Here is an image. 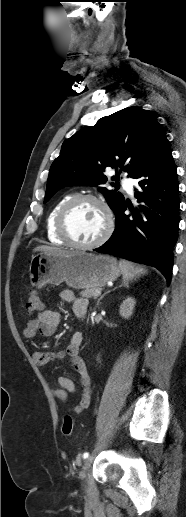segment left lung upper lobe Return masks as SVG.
Instances as JSON below:
<instances>
[{"instance_id":"5c2ea615","label":"left lung upper lobe","mask_w":186,"mask_h":517,"mask_svg":"<svg viewBox=\"0 0 186 517\" xmlns=\"http://www.w3.org/2000/svg\"><path fill=\"white\" fill-rule=\"evenodd\" d=\"M165 137L157 120L140 107H127L102 117L94 126H86L64 141L50 168L44 203L66 186L105 184L107 178L102 172L107 167L116 173L120 167L131 177ZM115 181H119V174ZM99 190L114 212L125 202L119 192L105 187Z\"/></svg>"}]
</instances>
